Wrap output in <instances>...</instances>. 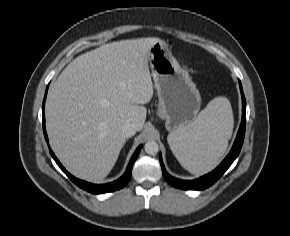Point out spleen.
Masks as SVG:
<instances>
[{
	"instance_id": "3e777b00",
	"label": "spleen",
	"mask_w": 290,
	"mask_h": 236,
	"mask_svg": "<svg viewBox=\"0 0 290 236\" xmlns=\"http://www.w3.org/2000/svg\"><path fill=\"white\" fill-rule=\"evenodd\" d=\"M233 123L229 100L216 97L194 122L170 133L167 140L182 167L195 175H202L215 168L224 155Z\"/></svg>"
}]
</instances>
